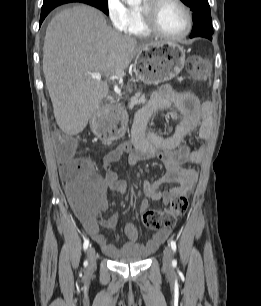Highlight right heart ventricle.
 <instances>
[{
    "instance_id": "right-heart-ventricle-1",
    "label": "right heart ventricle",
    "mask_w": 261,
    "mask_h": 306,
    "mask_svg": "<svg viewBox=\"0 0 261 306\" xmlns=\"http://www.w3.org/2000/svg\"><path fill=\"white\" fill-rule=\"evenodd\" d=\"M128 11V20L124 32L128 35L146 38L151 37L153 33L146 27L140 5L138 6H129Z\"/></svg>"
}]
</instances>
